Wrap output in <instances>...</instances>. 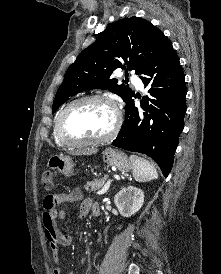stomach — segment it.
<instances>
[{
	"label": "stomach",
	"mask_w": 221,
	"mask_h": 274,
	"mask_svg": "<svg viewBox=\"0 0 221 274\" xmlns=\"http://www.w3.org/2000/svg\"><path fill=\"white\" fill-rule=\"evenodd\" d=\"M103 161L122 172L129 171L132 166L127 155L121 151L108 148L103 151ZM48 167L64 176H71L74 171V163L70 156L53 155L48 160Z\"/></svg>",
	"instance_id": "stomach-1"
}]
</instances>
